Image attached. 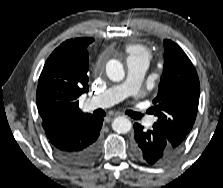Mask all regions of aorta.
<instances>
[{
    "instance_id": "762f6f07",
    "label": "aorta",
    "mask_w": 223,
    "mask_h": 188,
    "mask_svg": "<svg viewBox=\"0 0 223 188\" xmlns=\"http://www.w3.org/2000/svg\"><path fill=\"white\" fill-rule=\"evenodd\" d=\"M106 73L108 78L114 82H119L125 77V69L123 64L115 59L107 62ZM131 128V121L124 116H119L112 122V129L119 134H126L131 130Z\"/></svg>"
}]
</instances>
